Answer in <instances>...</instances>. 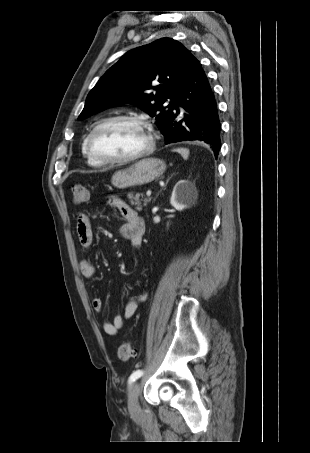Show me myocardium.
Masks as SVG:
<instances>
[{
	"mask_svg": "<svg viewBox=\"0 0 310 453\" xmlns=\"http://www.w3.org/2000/svg\"><path fill=\"white\" fill-rule=\"evenodd\" d=\"M120 121L131 122V123H134V124L140 126L142 129H144L146 132V135H147V139H148V143H147L146 147L143 148L142 150L138 151L137 153L124 157V158H109V157L100 155L99 153H97L95 151L94 145H93V139H94L95 134L103 127L110 125L112 123H115V122H120ZM86 146H87V150H88L90 156L93 159H95L96 161H98L102 164L116 165V164L131 163V162L137 161V160L149 155L154 150L155 140H154L152 126L142 117L136 116V115H116V116L108 117L106 119L101 120L92 128V130L89 132V134L87 136Z\"/></svg>",
	"mask_w": 310,
	"mask_h": 453,
	"instance_id": "obj_1",
	"label": "myocardium"
}]
</instances>
